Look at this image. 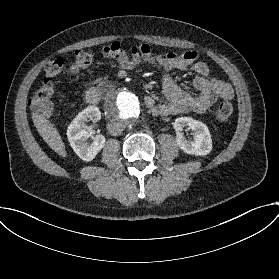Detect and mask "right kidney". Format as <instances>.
Masks as SVG:
<instances>
[{
	"label": "right kidney",
	"mask_w": 279,
	"mask_h": 279,
	"mask_svg": "<svg viewBox=\"0 0 279 279\" xmlns=\"http://www.w3.org/2000/svg\"><path fill=\"white\" fill-rule=\"evenodd\" d=\"M100 118V110L91 106L79 113L68 126L67 136L69 143L74 152L83 161H93L106 144V138L103 135L94 137L91 145L86 143V140L92 136L91 131L86 129V122L89 120L97 122Z\"/></svg>",
	"instance_id": "right-kidney-1"
}]
</instances>
